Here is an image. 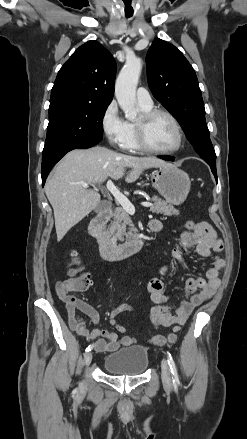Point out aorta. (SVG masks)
<instances>
[{"mask_svg":"<svg viewBox=\"0 0 247 439\" xmlns=\"http://www.w3.org/2000/svg\"><path fill=\"white\" fill-rule=\"evenodd\" d=\"M142 70V61L131 57L121 69L115 85V96L127 119L137 116L136 87Z\"/></svg>","mask_w":247,"mask_h":439,"instance_id":"1","label":"aorta"}]
</instances>
